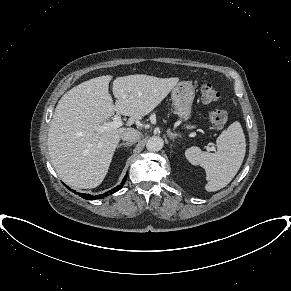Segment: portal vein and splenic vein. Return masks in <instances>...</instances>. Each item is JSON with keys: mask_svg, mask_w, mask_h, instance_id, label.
<instances>
[{"mask_svg": "<svg viewBox=\"0 0 291 291\" xmlns=\"http://www.w3.org/2000/svg\"><path fill=\"white\" fill-rule=\"evenodd\" d=\"M122 126V120L119 115H114L112 122H107L102 125H99L95 130L100 134L111 129H116Z\"/></svg>", "mask_w": 291, "mask_h": 291, "instance_id": "obj_1", "label": "portal vein and splenic vein"}]
</instances>
